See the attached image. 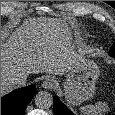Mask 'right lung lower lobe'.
<instances>
[{
    "label": "right lung lower lobe",
    "instance_id": "98d812e1",
    "mask_svg": "<svg viewBox=\"0 0 115 115\" xmlns=\"http://www.w3.org/2000/svg\"><path fill=\"white\" fill-rule=\"evenodd\" d=\"M36 92L35 85L17 89L1 98V115H24Z\"/></svg>",
    "mask_w": 115,
    "mask_h": 115
}]
</instances>
